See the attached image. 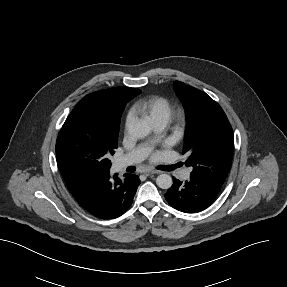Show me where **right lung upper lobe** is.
<instances>
[{
    "instance_id": "1",
    "label": "right lung upper lobe",
    "mask_w": 287,
    "mask_h": 287,
    "mask_svg": "<svg viewBox=\"0 0 287 287\" xmlns=\"http://www.w3.org/2000/svg\"><path fill=\"white\" fill-rule=\"evenodd\" d=\"M141 90L129 87H115L111 89L100 90L86 95L83 100H90L92 104L98 107H104L111 119L115 121L122 114L127 102L138 95ZM66 183H74L81 180H74L62 173Z\"/></svg>"
}]
</instances>
